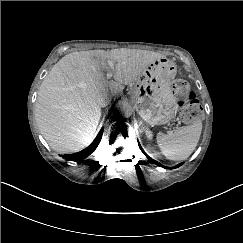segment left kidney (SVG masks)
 I'll list each match as a JSON object with an SVG mask.
<instances>
[{"instance_id":"1","label":"left kidney","mask_w":243,"mask_h":243,"mask_svg":"<svg viewBox=\"0 0 243 243\" xmlns=\"http://www.w3.org/2000/svg\"><path fill=\"white\" fill-rule=\"evenodd\" d=\"M147 137L151 136V133L149 131L146 132Z\"/></svg>"}]
</instances>
